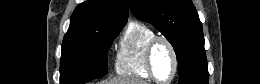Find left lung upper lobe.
I'll return each mask as SVG.
<instances>
[{"label":"left lung upper lobe","instance_id":"1","mask_svg":"<svg viewBox=\"0 0 260 84\" xmlns=\"http://www.w3.org/2000/svg\"><path fill=\"white\" fill-rule=\"evenodd\" d=\"M137 19L158 29L172 44L179 84H208L202 23L191 0H128Z\"/></svg>","mask_w":260,"mask_h":84}]
</instances>
